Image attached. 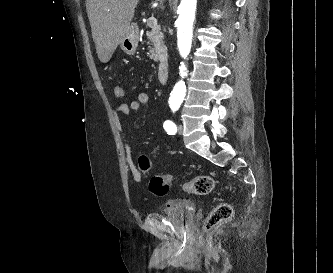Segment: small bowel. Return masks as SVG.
<instances>
[{
	"instance_id": "c3829d8e",
	"label": "small bowel",
	"mask_w": 333,
	"mask_h": 273,
	"mask_svg": "<svg viewBox=\"0 0 333 273\" xmlns=\"http://www.w3.org/2000/svg\"><path fill=\"white\" fill-rule=\"evenodd\" d=\"M149 101H150L149 93L139 92L136 98L132 100L130 103L117 105L113 110L114 122L116 127L119 130H122L123 127L122 118L127 116L130 112L138 111L141 108V106L146 105ZM125 152L131 175L136 183H140L143 179V173L139 169L138 165L139 156L137 157V161H135L132 153V148L128 143H125Z\"/></svg>"
}]
</instances>
